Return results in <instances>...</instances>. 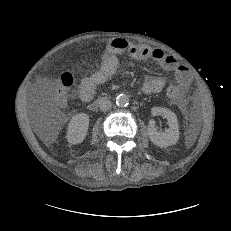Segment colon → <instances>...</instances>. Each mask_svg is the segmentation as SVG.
I'll use <instances>...</instances> for the list:
<instances>
[{
    "mask_svg": "<svg viewBox=\"0 0 231 231\" xmlns=\"http://www.w3.org/2000/svg\"><path fill=\"white\" fill-rule=\"evenodd\" d=\"M73 84V77L69 72H63L51 79L50 98L58 106L64 107L67 103V92ZM167 96L170 99H177L180 96V89L177 86H170L167 89Z\"/></svg>",
    "mask_w": 231,
    "mask_h": 231,
    "instance_id": "1",
    "label": "colon"
}]
</instances>
